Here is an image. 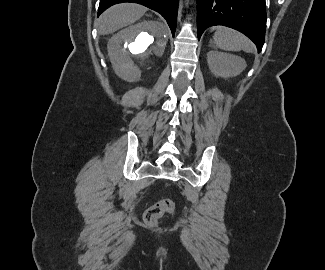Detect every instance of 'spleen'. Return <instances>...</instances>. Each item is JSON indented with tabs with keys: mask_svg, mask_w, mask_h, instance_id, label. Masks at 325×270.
<instances>
[{
	"mask_svg": "<svg viewBox=\"0 0 325 270\" xmlns=\"http://www.w3.org/2000/svg\"><path fill=\"white\" fill-rule=\"evenodd\" d=\"M216 47L225 51H240L251 53L254 50L252 42L243 34L226 27H219L213 36Z\"/></svg>",
	"mask_w": 325,
	"mask_h": 270,
	"instance_id": "spleen-1",
	"label": "spleen"
}]
</instances>
